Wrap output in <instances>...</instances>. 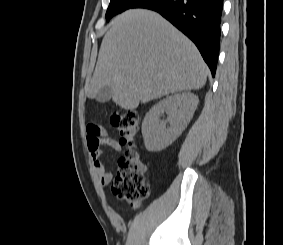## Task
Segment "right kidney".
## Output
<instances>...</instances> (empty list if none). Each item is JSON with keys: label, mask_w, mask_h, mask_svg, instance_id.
Wrapping results in <instances>:
<instances>
[{"label": "right kidney", "mask_w": 283, "mask_h": 245, "mask_svg": "<svg viewBox=\"0 0 283 245\" xmlns=\"http://www.w3.org/2000/svg\"><path fill=\"white\" fill-rule=\"evenodd\" d=\"M199 99L190 92L167 96L156 103L146 114L142 134L148 151H160L175 141L193 117ZM166 113V120L160 117ZM169 123L170 127L166 128Z\"/></svg>", "instance_id": "right-kidney-1"}]
</instances>
